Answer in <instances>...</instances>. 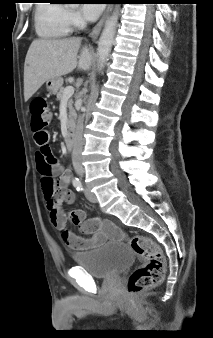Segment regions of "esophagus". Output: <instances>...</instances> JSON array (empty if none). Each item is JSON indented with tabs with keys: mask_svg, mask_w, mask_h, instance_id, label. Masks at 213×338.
I'll use <instances>...</instances> for the list:
<instances>
[{
	"mask_svg": "<svg viewBox=\"0 0 213 338\" xmlns=\"http://www.w3.org/2000/svg\"><path fill=\"white\" fill-rule=\"evenodd\" d=\"M111 10H112V7H111L110 4H108L104 13H103V15H102V17L100 18L98 23L94 26L93 30L91 31L90 37L92 38L93 41L98 38L105 21L109 17Z\"/></svg>",
	"mask_w": 213,
	"mask_h": 338,
	"instance_id": "1",
	"label": "esophagus"
}]
</instances>
